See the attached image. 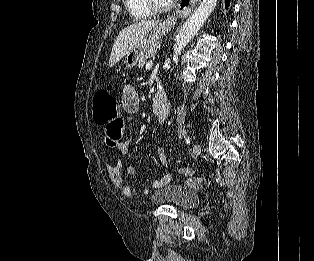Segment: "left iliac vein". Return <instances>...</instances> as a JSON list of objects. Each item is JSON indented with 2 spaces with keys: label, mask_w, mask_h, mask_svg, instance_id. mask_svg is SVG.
I'll return each instance as SVG.
<instances>
[{
  "label": "left iliac vein",
  "mask_w": 314,
  "mask_h": 261,
  "mask_svg": "<svg viewBox=\"0 0 314 261\" xmlns=\"http://www.w3.org/2000/svg\"><path fill=\"white\" fill-rule=\"evenodd\" d=\"M193 153L194 155H199L201 153V146L199 144H194Z\"/></svg>",
  "instance_id": "obj_1"
}]
</instances>
